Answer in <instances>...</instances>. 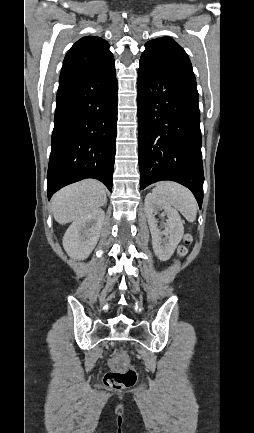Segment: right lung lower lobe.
Returning <instances> with one entry per match:
<instances>
[{"label":"right lung lower lobe","mask_w":254,"mask_h":433,"mask_svg":"<svg viewBox=\"0 0 254 433\" xmlns=\"http://www.w3.org/2000/svg\"><path fill=\"white\" fill-rule=\"evenodd\" d=\"M118 87L115 62L60 77L47 173L48 199L60 188L94 178L112 191Z\"/></svg>","instance_id":"right-lung-lower-lobe-1"}]
</instances>
